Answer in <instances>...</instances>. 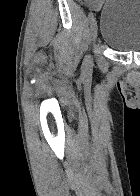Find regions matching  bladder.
<instances>
[{
	"instance_id": "obj_1",
	"label": "bladder",
	"mask_w": 140,
	"mask_h": 196,
	"mask_svg": "<svg viewBox=\"0 0 140 196\" xmlns=\"http://www.w3.org/2000/svg\"><path fill=\"white\" fill-rule=\"evenodd\" d=\"M101 36L120 52H140V0H107L101 12Z\"/></svg>"
}]
</instances>
